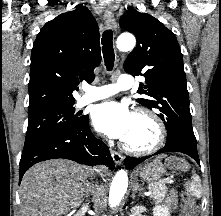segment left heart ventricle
I'll use <instances>...</instances> for the list:
<instances>
[{
	"instance_id": "left-heart-ventricle-1",
	"label": "left heart ventricle",
	"mask_w": 221,
	"mask_h": 216,
	"mask_svg": "<svg viewBox=\"0 0 221 216\" xmlns=\"http://www.w3.org/2000/svg\"><path fill=\"white\" fill-rule=\"evenodd\" d=\"M156 136V127L151 120L134 115L130 131L124 141L134 147H148L154 143Z\"/></svg>"
}]
</instances>
